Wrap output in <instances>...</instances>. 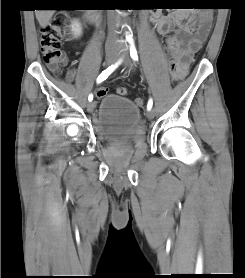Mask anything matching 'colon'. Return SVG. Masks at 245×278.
<instances>
[{"instance_id": "5ec220e1", "label": "colon", "mask_w": 245, "mask_h": 278, "mask_svg": "<svg viewBox=\"0 0 245 278\" xmlns=\"http://www.w3.org/2000/svg\"><path fill=\"white\" fill-rule=\"evenodd\" d=\"M197 7L204 11H210L214 8L210 3V0H202ZM205 28L207 29L208 27L205 26ZM68 33L69 27L67 25V19L62 14L55 15L50 23L42 27L39 31V42L41 45L43 61L45 65L57 75L61 72L64 63L66 62V55L61 50V39ZM171 75L174 81H178L182 78L174 65H171ZM98 93L106 94L107 90L102 88L99 89ZM116 93L119 96H126L128 91L124 87H118L116 88ZM134 102L139 108L144 105V99L141 97H136Z\"/></svg>"}]
</instances>
